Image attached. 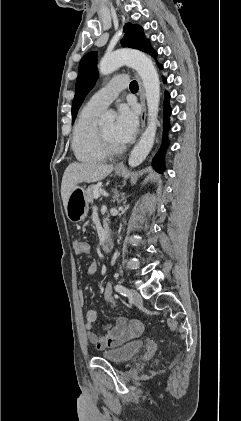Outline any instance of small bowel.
I'll use <instances>...</instances> for the list:
<instances>
[{"label": "small bowel", "instance_id": "obj_1", "mask_svg": "<svg viewBox=\"0 0 241 421\" xmlns=\"http://www.w3.org/2000/svg\"><path fill=\"white\" fill-rule=\"evenodd\" d=\"M97 268V262L92 261L88 266V274L93 275ZM78 296L79 301L83 303V291H79ZM96 319L97 312L94 309H89L85 314V328L88 330L87 337L89 342L98 349L120 346L139 336L143 330V324L139 320H127L125 317H119L114 325L104 328L102 334L98 335L91 331Z\"/></svg>", "mask_w": 241, "mask_h": 421}]
</instances>
